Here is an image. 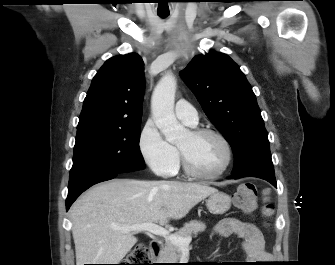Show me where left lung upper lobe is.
<instances>
[{
	"mask_svg": "<svg viewBox=\"0 0 335 265\" xmlns=\"http://www.w3.org/2000/svg\"><path fill=\"white\" fill-rule=\"evenodd\" d=\"M180 74L232 147V174L275 176L256 96L238 65L226 54L210 51L194 57Z\"/></svg>",
	"mask_w": 335,
	"mask_h": 265,
	"instance_id": "left-lung-upper-lobe-1",
	"label": "left lung upper lobe"
}]
</instances>
